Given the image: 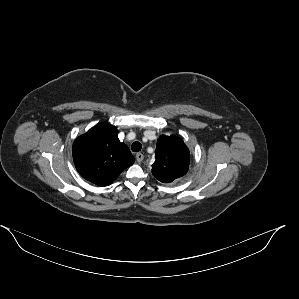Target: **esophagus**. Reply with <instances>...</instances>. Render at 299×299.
Wrapping results in <instances>:
<instances>
[{
  "label": "esophagus",
  "mask_w": 299,
  "mask_h": 299,
  "mask_svg": "<svg viewBox=\"0 0 299 299\" xmlns=\"http://www.w3.org/2000/svg\"><path fill=\"white\" fill-rule=\"evenodd\" d=\"M143 159H144V155L142 153L136 154V160L138 163L142 162Z\"/></svg>",
  "instance_id": "1"
}]
</instances>
